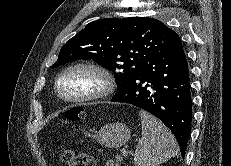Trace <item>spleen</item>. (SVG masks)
Here are the masks:
<instances>
[{
    "mask_svg": "<svg viewBox=\"0 0 231 166\" xmlns=\"http://www.w3.org/2000/svg\"><path fill=\"white\" fill-rule=\"evenodd\" d=\"M142 137L134 153L135 166H158L178 156L179 146L172 132L147 111L139 112Z\"/></svg>",
    "mask_w": 231,
    "mask_h": 166,
    "instance_id": "3e777b00",
    "label": "spleen"
}]
</instances>
